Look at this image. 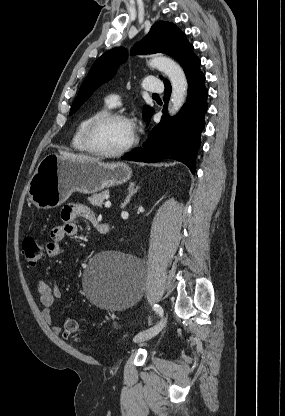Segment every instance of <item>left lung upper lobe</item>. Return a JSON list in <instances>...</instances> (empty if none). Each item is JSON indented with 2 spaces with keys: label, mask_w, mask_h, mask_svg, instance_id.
I'll list each match as a JSON object with an SVG mask.
<instances>
[{
  "label": "left lung upper lobe",
  "mask_w": 285,
  "mask_h": 416,
  "mask_svg": "<svg viewBox=\"0 0 285 416\" xmlns=\"http://www.w3.org/2000/svg\"><path fill=\"white\" fill-rule=\"evenodd\" d=\"M136 50L143 54H168L176 59L183 68L189 61L197 57L193 53V46L186 40L185 34L174 24L165 21L155 23L146 37L137 44ZM124 59L125 50L119 47L105 52L95 61L72 104L70 115L75 113L100 85L114 76L119 63ZM167 81L164 80V82ZM153 112L152 107H144L143 115L148 122Z\"/></svg>",
  "instance_id": "1"
}]
</instances>
